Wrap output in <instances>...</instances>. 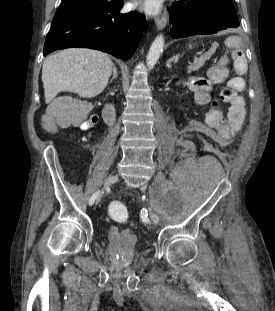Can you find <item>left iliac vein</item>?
Returning <instances> with one entry per match:
<instances>
[{
    "instance_id": "4c4485c4",
    "label": "left iliac vein",
    "mask_w": 275,
    "mask_h": 311,
    "mask_svg": "<svg viewBox=\"0 0 275 311\" xmlns=\"http://www.w3.org/2000/svg\"><path fill=\"white\" fill-rule=\"evenodd\" d=\"M150 218H151L153 224L158 225L160 223V219H159V217H158V215L156 213L151 212L150 213Z\"/></svg>"
}]
</instances>
